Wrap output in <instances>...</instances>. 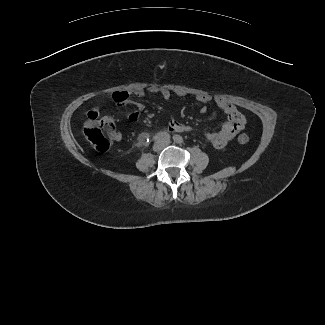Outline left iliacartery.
<instances>
[{"label": "left iliac artery", "instance_id": "obj_1", "mask_svg": "<svg viewBox=\"0 0 325 325\" xmlns=\"http://www.w3.org/2000/svg\"><path fill=\"white\" fill-rule=\"evenodd\" d=\"M173 140H174L175 142H177V143H180L182 139H181L180 136L175 135V136H173Z\"/></svg>", "mask_w": 325, "mask_h": 325}]
</instances>
